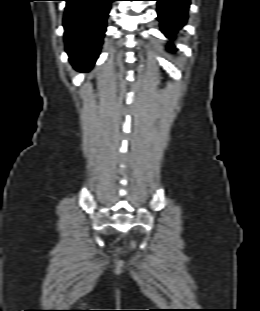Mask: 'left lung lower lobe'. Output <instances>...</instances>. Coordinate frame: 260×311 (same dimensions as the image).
Segmentation results:
<instances>
[{
  "label": "left lung lower lobe",
  "mask_w": 260,
  "mask_h": 311,
  "mask_svg": "<svg viewBox=\"0 0 260 311\" xmlns=\"http://www.w3.org/2000/svg\"><path fill=\"white\" fill-rule=\"evenodd\" d=\"M155 1L158 2L157 12L162 32L171 38L185 24L190 0Z\"/></svg>",
  "instance_id": "left-lung-lower-lobe-1"
}]
</instances>
